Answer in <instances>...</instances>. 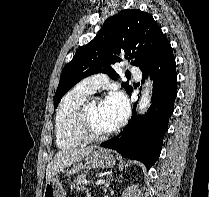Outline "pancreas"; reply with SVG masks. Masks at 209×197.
<instances>
[{
	"mask_svg": "<svg viewBox=\"0 0 209 197\" xmlns=\"http://www.w3.org/2000/svg\"><path fill=\"white\" fill-rule=\"evenodd\" d=\"M86 176L85 175H79L70 185L71 189H76L77 191H84L86 190Z\"/></svg>",
	"mask_w": 209,
	"mask_h": 197,
	"instance_id": "cf45deb5",
	"label": "pancreas"
}]
</instances>
